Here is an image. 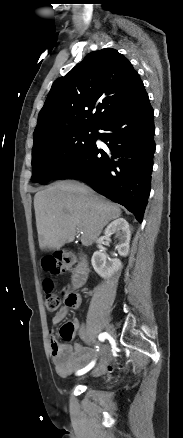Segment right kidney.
Wrapping results in <instances>:
<instances>
[{"mask_svg": "<svg viewBox=\"0 0 183 438\" xmlns=\"http://www.w3.org/2000/svg\"><path fill=\"white\" fill-rule=\"evenodd\" d=\"M131 230L132 228L124 218H118L107 226L103 238L109 240L110 236L115 234V237L119 240L115 248L119 255L127 256ZM91 262L94 270L104 279L110 278L112 274L121 267V261L119 259H111L102 251L94 252Z\"/></svg>", "mask_w": 183, "mask_h": 438, "instance_id": "right-kidney-1", "label": "right kidney"}]
</instances>
